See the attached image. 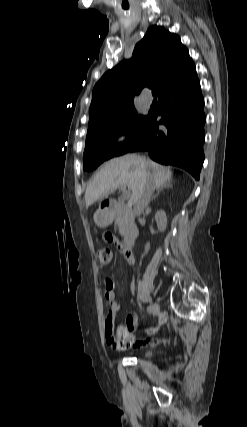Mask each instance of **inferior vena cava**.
Wrapping results in <instances>:
<instances>
[{
    "mask_svg": "<svg viewBox=\"0 0 247 427\" xmlns=\"http://www.w3.org/2000/svg\"><path fill=\"white\" fill-rule=\"evenodd\" d=\"M154 189V181L150 176H148L143 190L134 201V213L137 216H140L143 213L144 209L148 206Z\"/></svg>",
    "mask_w": 247,
    "mask_h": 427,
    "instance_id": "inferior-vena-cava-1",
    "label": "inferior vena cava"
}]
</instances>
